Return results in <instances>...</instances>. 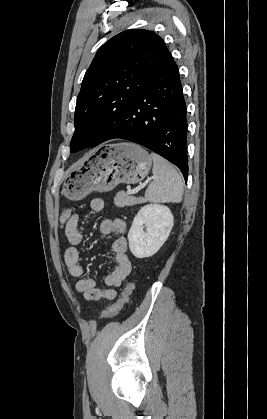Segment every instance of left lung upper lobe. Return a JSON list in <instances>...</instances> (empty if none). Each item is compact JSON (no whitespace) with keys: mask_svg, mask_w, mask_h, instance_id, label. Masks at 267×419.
I'll list each match as a JSON object with an SVG mask.
<instances>
[{"mask_svg":"<svg viewBox=\"0 0 267 419\" xmlns=\"http://www.w3.org/2000/svg\"><path fill=\"white\" fill-rule=\"evenodd\" d=\"M168 52L161 37L141 29L123 31L98 50L77 98L71 152L92 147L104 124L126 113Z\"/></svg>","mask_w":267,"mask_h":419,"instance_id":"left-lung-upper-lobe-1","label":"left lung upper lobe"}]
</instances>
